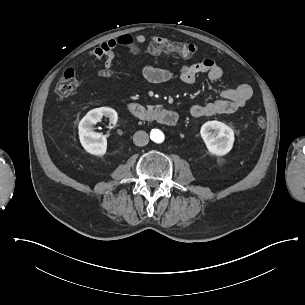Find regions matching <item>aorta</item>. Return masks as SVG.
I'll return each instance as SVG.
<instances>
[{
    "mask_svg": "<svg viewBox=\"0 0 305 305\" xmlns=\"http://www.w3.org/2000/svg\"><path fill=\"white\" fill-rule=\"evenodd\" d=\"M152 140L156 143H162L164 141V134L160 130H153L151 133Z\"/></svg>",
    "mask_w": 305,
    "mask_h": 305,
    "instance_id": "aorta-1",
    "label": "aorta"
}]
</instances>
